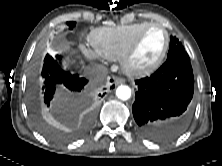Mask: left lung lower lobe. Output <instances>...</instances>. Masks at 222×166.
<instances>
[{
    "instance_id": "0a47b994",
    "label": "left lung lower lobe",
    "mask_w": 222,
    "mask_h": 166,
    "mask_svg": "<svg viewBox=\"0 0 222 166\" xmlns=\"http://www.w3.org/2000/svg\"><path fill=\"white\" fill-rule=\"evenodd\" d=\"M132 112L139 132L158 142L181 134L190 121L194 75L190 60H167L154 74L135 82Z\"/></svg>"
}]
</instances>
